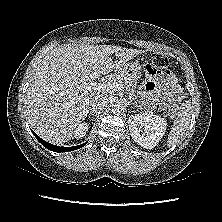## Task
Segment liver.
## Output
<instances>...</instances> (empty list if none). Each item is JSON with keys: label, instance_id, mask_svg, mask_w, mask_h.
Here are the masks:
<instances>
[{"label": "liver", "instance_id": "liver-1", "mask_svg": "<svg viewBox=\"0 0 222 222\" xmlns=\"http://www.w3.org/2000/svg\"><path fill=\"white\" fill-rule=\"evenodd\" d=\"M113 53L115 61L110 57ZM142 53L112 45L64 44L52 50L35 68L26 92L31 128L50 143L69 141L89 112L90 101L101 95L83 84L112 72L119 74L127 61Z\"/></svg>", "mask_w": 222, "mask_h": 222}]
</instances>
